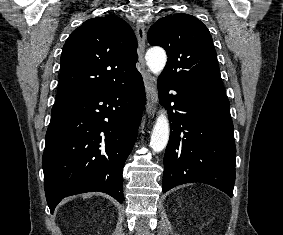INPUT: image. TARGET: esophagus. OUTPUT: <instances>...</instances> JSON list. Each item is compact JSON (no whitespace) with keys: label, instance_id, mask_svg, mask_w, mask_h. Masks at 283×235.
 I'll return each instance as SVG.
<instances>
[{"label":"esophagus","instance_id":"esophagus-1","mask_svg":"<svg viewBox=\"0 0 283 235\" xmlns=\"http://www.w3.org/2000/svg\"><path fill=\"white\" fill-rule=\"evenodd\" d=\"M136 36L138 40V60L139 64L141 65L142 69V76L144 79V84L146 88V93H147V107H146V112L149 117L154 116L155 113V106L157 103V92H156V86L154 83V79L149 73V71L146 69L145 65V59H144V54H145V40H146V32H145V26L142 23H138L136 26Z\"/></svg>","mask_w":283,"mask_h":235}]
</instances>
